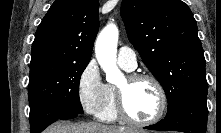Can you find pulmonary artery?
Here are the masks:
<instances>
[{
  "label": "pulmonary artery",
  "mask_w": 221,
  "mask_h": 133,
  "mask_svg": "<svg viewBox=\"0 0 221 133\" xmlns=\"http://www.w3.org/2000/svg\"><path fill=\"white\" fill-rule=\"evenodd\" d=\"M118 64L127 70H134L137 66V58L135 52L129 47H122L118 51Z\"/></svg>",
  "instance_id": "1"
}]
</instances>
